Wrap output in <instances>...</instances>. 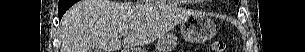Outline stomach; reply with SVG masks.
<instances>
[{
    "label": "stomach",
    "instance_id": "0dacf381",
    "mask_svg": "<svg viewBox=\"0 0 305 52\" xmlns=\"http://www.w3.org/2000/svg\"><path fill=\"white\" fill-rule=\"evenodd\" d=\"M215 30L214 21L201 14H192L180 24L183 39L192 43H202L211 39L215 35ZM176 45L177 38L173 34H165L159 38L156 51L154 52H171Z\"/></svg>",
    "mask_w": 305,
    "mask_h": 52
}]
</instances>
